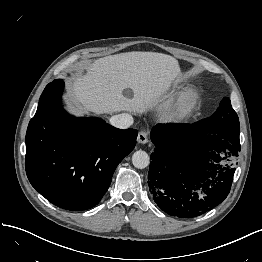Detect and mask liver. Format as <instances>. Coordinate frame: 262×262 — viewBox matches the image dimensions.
Here are the masks:
<instances>
[{
    "label": "liver",
    "mask_w": 262,
    "mask_h": 262,
    "mask_svg": "<svg viewBox=\"0 0 262 262\" xmlns=\"http://www.w3.org/2000/svg\"><path fill=\"white\" fill-rule=\"evenodd\" d=\"M181 77L178 61L155 52H127L95 60L87 74L70 86V100L80 113H142L155 105ZM125 89L132 96L123 95Z\"/></svg>",
    "instance_id": "obj_1"
}]
</instances>
